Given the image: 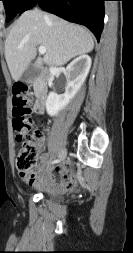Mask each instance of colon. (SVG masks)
Instances as JSON below:
<instances>
[{
	"label": "colon",
	"mask_w": 133,
	"mask_h": 253,
	"mask_svg": "<svg viewBox=\"0 0 133 253\" xmlns=\"http://www.w3.org/2000/svg\"><path fill=\"white\" fill-rule=\"evenodd\" d=\"M13 95V129L16 140L22 143L16 166L20 172H26L32 170L36 164L38 145L43 135L38 128L33 126L29 117L32 111L29 107L30 96L27 86H16Z\"/></svg>",
	"instance_id": "obj_1"
}]
</instances>
